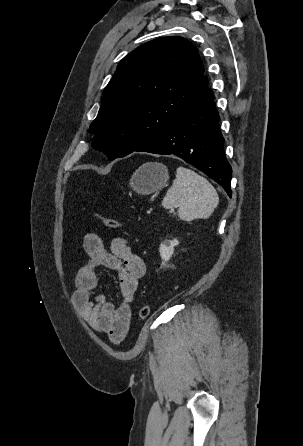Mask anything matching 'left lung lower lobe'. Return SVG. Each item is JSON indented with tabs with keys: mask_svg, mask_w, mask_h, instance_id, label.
Segmentation results:
<instances>
[{
	"mask_svg": "<svg viewBox=\"0 0 303 446\" xmlns=\"http://www.w3.org/2000/svg\"><path fill=\"white\" fill-rule=\"evenodd\" d=\"M223 143L214 95L207 87L188 105L171 129L135 151L177 155L211 177L231 197L232 169L225 157Z\"/></svg>",
	"mask_w": 303,
	"mask_h": 446,
	"instance_id": "1",
	"label": "left lung lower lobe"
}]
</instances>
